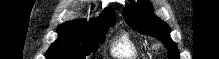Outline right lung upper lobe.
Returning a JSON list of instances; mask_svg holds the SVG:
<instances>
[{"mask_svg":"<svg viewBox=\"0 0 219 59\" xmlns=\"http://www.w3.org/2000/svg\"><path fill=\"white\" fill-rule=\"evenodd\" d=\"M92 22L86 20L70 21L63 25L82 27V28H103L116 23V15L111 8H105L103 12Z\"/></svg>","mask_w":219,"mask_h":59,"instance_id":"obj_1","label":"right lung upper lobe"}]
</instances>
